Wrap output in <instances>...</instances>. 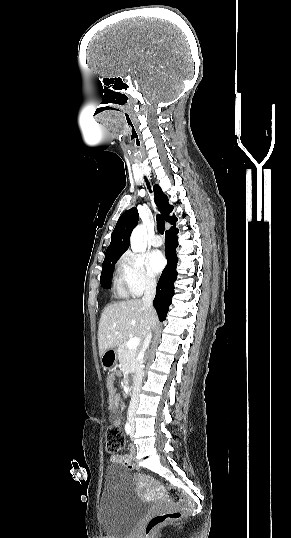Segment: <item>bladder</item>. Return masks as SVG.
Masks as SVG:
<instances>
[{"label":"bladder","mask_w":291,"mask_h":538,"mask_svg":"<svg viewBox=\"0 0 291 538\" xmlns=\"http://www.w3.org/2000/svg\"><path fill=\"white\" fill-rule=\"evenodd\" d=\"M151 508L137 496L128 470L119 464L106 467L99 504V525L105 538H126Z\"/></svg>","instance_id":"obj_1"}]
</instances>
